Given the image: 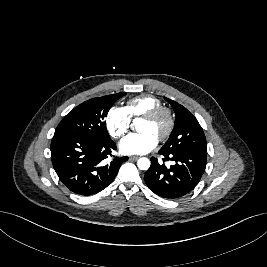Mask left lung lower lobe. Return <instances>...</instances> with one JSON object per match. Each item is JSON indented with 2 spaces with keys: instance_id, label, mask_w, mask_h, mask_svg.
<instances>
[{
  "instance_id": "obj_1",
  "label": "left lung lower lobe",
  "mask_w": 267,
  "mask_h": 267,
  "mask_svg": "<svg viewBox=\"0 0 267 267\" xmlns=\"http://www.w3.org/2000/svg\"><path fill=\"white\" fill-rule=\"evenodd\" d=\"M163 162L171 161L166 166L151 158V166L144 176L147 186L160 197L177 199L191 192L199 183L207 163V154L195 151L163 153Z\"/></svg>"
}]
</instances>
